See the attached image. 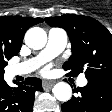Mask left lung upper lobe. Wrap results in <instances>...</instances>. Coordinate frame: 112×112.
Returning a JSON list of instances; mask_svg holds the SVG:
<instances>
[{"instance_id": "5c2ea615", "label": "left lung upper lobe", "mask_w": 112, "mask_h": 112, "mask_svg": "<svg viewBox=\"0 0 112 112\" xmlns=\"http://www.w3.org/2000/svg\"><path fill=\"white\" fill-rule=\"evenodd\" d=\"M51 27H61L68 33L72 56L64 63L67 75L84 71L87 80H112V35L97 20L82 15L45 18Z\"/></svg>"}]
</instances>
